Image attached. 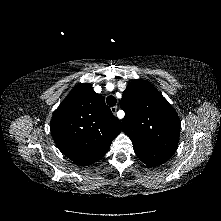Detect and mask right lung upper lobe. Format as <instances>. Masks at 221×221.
Here are the masks:
<instances>
[{"label": "right lung upper lobe", "instance_id": "cb5924a9", "mask_svg": "<svg viewBox=\"0 0 221 221\" xmlns=\"http://www.w3.org/2000/svg\"><path fill=\"white\" fill-rule=\"evenodd\" d=\"M51 132L60 151L80 165L99 160L121 132V122L92 85H76L56 109Z\"/></svg>", "mask_w": 221, "mask_h": 221}]
</instances>
